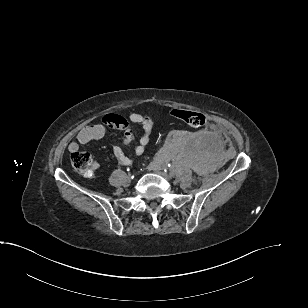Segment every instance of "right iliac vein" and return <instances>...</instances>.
Wrapping results in <instances>:
<instances>
[{
	"label": "right iliac vein",
	"mask_w": 308,
	"mask_h": 308,
	"mask_svg": "<svg viewBox=\"0 0 308 308\" xmlns=\"http://www.w3.org/2000/svg\"><path fill=\"white\" fill-rule=\"evenodd\" d=\"M128 179H131V176H130V175L128 176Z\"/></svg>",
	"instance_id": "63e3f726"
}]
</instances>
